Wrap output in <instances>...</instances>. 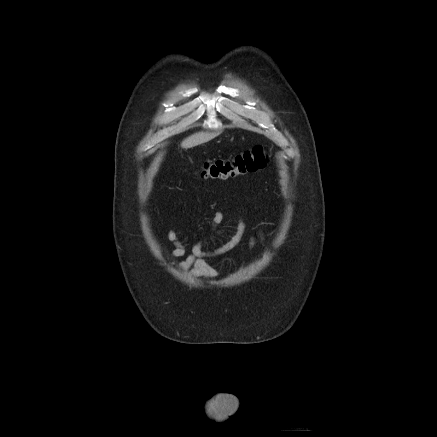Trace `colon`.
<instances>
[{
	"label": "colon",
	"mask_w": 437,
	"mask_h": 437,
	"mask_svg": "<svg viewBox=\"0 0 437 437\" xmlns=\"http://www.w3.org/2000/svg\"><path fill=\"white\" fill-rule=\"evenodd\" d=\"M268 163V157L261 146L236 156L230 160H215L204 163L199 170L202 178L226 180L248 172L262 169Z\"/></svg>",
	"instance_id": "1"
}]
</instances>
